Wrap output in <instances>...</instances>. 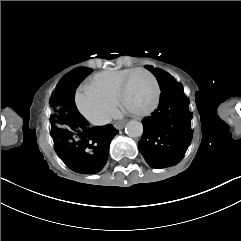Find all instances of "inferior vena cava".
<instances>
[{
    "mask_svg": "<svg viewBox=\"0 0 241 241\" xmlns=\"http://www.w3.org/2000/svg\"><path fill=\"white\" fill-rule=\"evenodd\" d=\"M111 120H112V119H111L110 116H105V117H103L102 119L97 120V121L94 122L93 124H94V125H98V126L106 125V124L110 123Z\"/></svg>",
    "mask_w": 241,
    "mask_h": 241,
    "instance_id": "1",
    "label": "inferior vena cava"
}]
</instances>
